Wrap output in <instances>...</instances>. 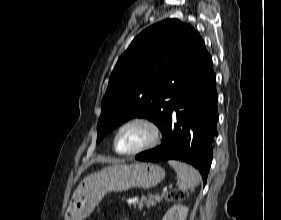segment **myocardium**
I'll return each instance as SVG.
<instances>
[{
  "label": "myocardium",
  "instance_id": "obj_1",
  "mask_svg": "<svg viewBox=\"0 0 281 220\" xmlns=\"http://www.w3.org/2000/svg\"><path fill=\"white\" fill-rule=\"evenodd\" d=\"M134 124H142L144 126H146L150 132H151V138L150 140L143 145L142 147L133 150V151H129V152H122L118 149L117 147V140L118 137L120 135V133L128 126L130 125H134ZM161 141V130L159 128V126L157 125V123H155L153 120L146 118V117H134L131 118L127 121H125L124 123H122L119 128L117 129L114 138H113V148L114 151L117 154L123 155V156H134V155H138L140 153L146 152L154 147H156Z\"/></svg>",
  "mask_w": 281,
  "mask_h": 220
}]
</instances>
